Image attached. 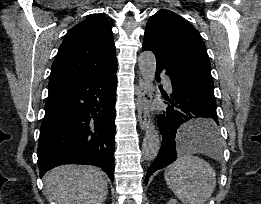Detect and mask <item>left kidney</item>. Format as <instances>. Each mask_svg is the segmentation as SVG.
<instances>
[{
	"label": "left kidney",
	"instance_id": "5707ae66",
	"mask_svg": "<svg viewBox=\"0 0 261 204\" xmlns=\"http://www.w3.org/2000/svg\"><path fill=\"white\" fill-rule=\"evenodd\" d=\"M167 204H179L176 199L171 198Z\"/></svg>",
	"mask_w": 261,
	"mask_h": 204
}]
</instances>
